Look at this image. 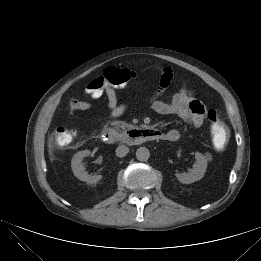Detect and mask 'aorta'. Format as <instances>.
Masks as SVG:
<instances>
[{
	"label": "aorta",
	"mask_w": 261,
	"mask_h": 261,
	"mask_svg": "<svg viewBox=\"0 0 261 261\" xmlns=\"http://www.w3.org/2000/svg\"><path fill=\"white\" fill-rule=\"evenodd\" d=\"M150 157V152L146 147H140L136 151V158L139 161H147Z\"/></svg>",
	"instance_id": "1"
}]
</instances>
